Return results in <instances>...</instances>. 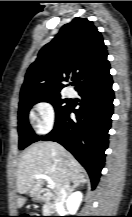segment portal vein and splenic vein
<instances>
[{"instance_id": "1", "label": "portal vein and splenic vein", "mask_w": 132, "mask_h": 217, "mask_svg": "<svg viewBox=\"0 0 132 217\" xmlns=\"http://www.w3.org/2000/svg\"><path fill=\"white\" fill-rule=\"evenodd\" d=\"M36 179H45L48 182V187L51 189L55 188V183L53 180H51V178L45 174H39V175H35Z\"/></svg>"}]
</instances>
